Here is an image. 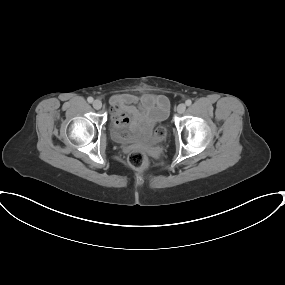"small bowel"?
<instances>
[{
  "mask_svg": "<svg viewBox=\"0 0 285 285\" xmlns=\"http://www.w3.org/2000/svg\"><path fill=\"white\" fill-rule=\"evenodd\" d=\"M116 110L115 124L123 127H151L168 114L169 100L164 95L147 93L140 96L122 94L111 100Z\"/></svg>",
  "mask_w": 285,
  "mask_h": 285,
  "instance_id": "1",
  "label": "small bowel"
}]
</instances>
